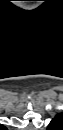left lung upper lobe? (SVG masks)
Instances as JSON below:
<instances>
[{
  "label": "left lung upper lobe",
  "instance_id": "left-lung-upper-lobe-1",
  "mask_svg": "<svg viewBox=\"0 0 63 130\" xmlns=\"http://www.w3.org/2000/svg\"><path fill=\"white\" fill-rule=\"evenodd\" d=\"M63 126L62 114H57L55 118L49 123L48 130H61Z\"/></svg>",
  "mask_w": 63,
  "mask_h": 130
}]
</instances>
